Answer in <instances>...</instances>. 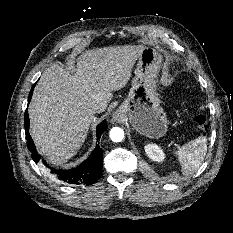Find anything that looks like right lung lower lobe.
I'll list each match as a JSON object with an SVG mask.
<instances>
[{
	"label": "right lung lower lobe",
	"mask_w": 233,
	"mask_h": 233,
	"mask_svg": "<svg viewBox=\"0 0 233 233\" xmlns=\"http://www.w3.org/2000/svg\"><path fill=\"white\" fill-rule=\"evenodd\" d=\"M36 83L34 84V86ZM32 87L28 103L31 100L33 89ZM107 129L106 121L104 120L97 126V140L101 137L103 132ZM25 134L27 140L28 149L31 152V157L35 161V163L39 162L41 156L38 154L34 142L29 134V115L28 111H25ZM102 156L103 151L101 150L100 146L97 144L92 154L77 168L72 170H55L52 169L45 161L43 163L51 168V172L54 173L60 180L65 181L70 184H86L91 185L97 181L102 173Z\"/></svg>",
	"instance_id": "obj_1"
}]
</instances>
